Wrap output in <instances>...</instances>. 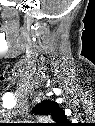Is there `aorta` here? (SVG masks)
<instances>
[{"instance_id":"aorta-1","label":"aorta","mask_w":95,"mask_h":126,"mask_svg":"<svg viewBox=\"0 0 95 126\" xmlns=\"http://www.w3.org/2000/svg\"><path fill=\"white\" fill-rule=\"evenodd\" d=\"M38 120L39 121H45V122H47V121H50V119L48 118V117H45V116H38Z\"/></svg>"}]
</instances>
